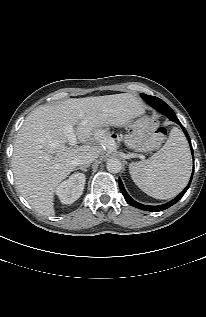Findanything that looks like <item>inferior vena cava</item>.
<instances>
[{
    "label": "inferior vena cava",
    "instance_id": "inferior-vena-cava-1",
    "mask_svg": "<svg viewBox=\"0 0 206 317\" xmlns=\"http://www.w3.org/2000/svg\"><path fill=\"white\" fill-rule=\"evenodd\" d=\"M98 155L96 153L87 152L75 159V164L80 166H86L92 163Z\"/></svg>",
    "mask_w": 206,
    "mask_h": 317
}]
</instances>
